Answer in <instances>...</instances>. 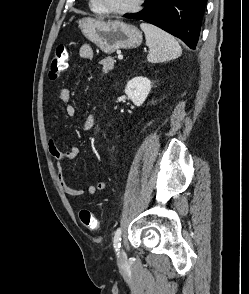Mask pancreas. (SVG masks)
I'll return each instance as SVG.
<instances>
[{
	"label": "pancreas",
	"mask_w": 249,
	"mask_h": 294,
	"mask_svg": "<svg viewBox=\"0 0 249 294\" xmlns=\"http://www.w3.org/2000/svg\"><path fill=\"white\" fill-rule=\"evenodd\" d=\"M115 62L116 61L111 56H108L105 59L101 60L100 63L103 65V72L108 73L109 71H111L114 68Z\"/></svg>",
	"instance_id": "pancreas-1"
}]
</instances>
